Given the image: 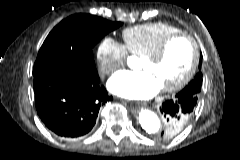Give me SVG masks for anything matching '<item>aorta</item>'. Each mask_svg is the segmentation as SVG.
<instances>
[{
	"label": "aorta",
	"instance_id": "obj_1",
	"mask_svg": "<svg viewBox=\"0 0 240 160\" xmlns=\"http://www.w3.org/2000/svg\"><path fill=\"white\" fill-rule=\"evenodd\" d=\"M138 120L146 133L156 135L161 129V122L158 116L151 110L140 108L138 111Z\"/></svg>",
	"mask_w": 240,
	"mask_h": 160
}]
</instances>
